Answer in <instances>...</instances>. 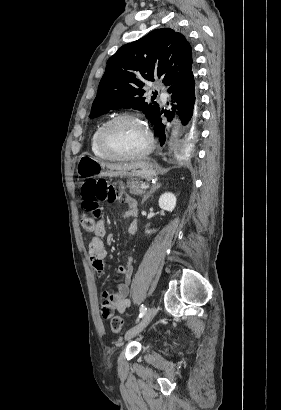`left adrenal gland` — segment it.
I'll use <instances>...</instances> for the list:
<instances>
[{
    "label": "left adrenal gland",
    "mask_w": 281,
    "mask_h": 410,
    "mask_svg": "<svg viewBox=\"0 0 281 410\" xmlns=\"http://www.w3.org/2000/svg\"><path fill=\"white\" fill-rule=\"evenodd\" d=\"M160 187H161V184H160V183H155V184H153V185L151 186L149 192H147V193L144 195V197H143V199H142V204H143L156 190H158Z\"/></svg>",
    "instance_id": "1"
}]
</instances>
